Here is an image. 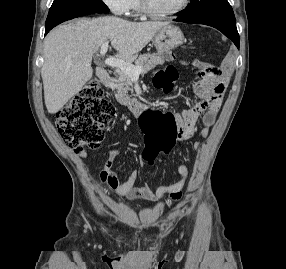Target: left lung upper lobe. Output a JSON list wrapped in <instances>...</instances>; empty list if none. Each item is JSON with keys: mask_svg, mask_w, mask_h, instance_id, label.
Returning a JSON list of instances; mask_svg holds the SVG:
<instances>
[{"mask_svg": "<svg viewBox=\"0 0 286 269\" xmlns=\"http://www.w3.org/2000/svg\"><path fill=\"white\" fill-rule=\"evenodd\" d=\"M184 20L215 19L236 22L227 0H191L190 6L181 11Z\"/></svg>", "mask_w": 286, "mask_h": 269, "instance_id": "1", "label": "left lung upper lobe"}]
</instances>
